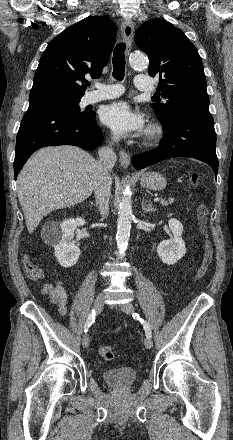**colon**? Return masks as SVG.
Wrapping results in <instances>:
<instances>
[{
	"label": "colon",
	"mask_w": 233,
	"mask_h": 440,
	"mask_svg": "<svg viewBox=\"0 0 233 440\" xmlns=\"http://www.w3.org/2000/svg\"><path fill=\"white\" fill-rule=\"evenodd\" d=\"M190 184L192 186L200 185V175L197 172H193L189 177ZM208 208L205 204H199L197 207V219L201 233L205 237L204 253L200 267L195 275V282L201 281L212 262L213 259V246L208 239L207 217ZM22 264L26 275L32 280H40L44 277V272L37 264H35L27 255L22 257ZM101 357L107 361L115 359V353L111 346L103 345L99 348Z\"/></svg>",
	"instance_id": "5ec220e1"
}]
</instances>
